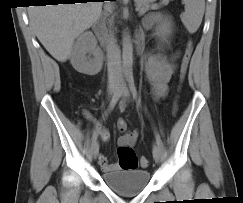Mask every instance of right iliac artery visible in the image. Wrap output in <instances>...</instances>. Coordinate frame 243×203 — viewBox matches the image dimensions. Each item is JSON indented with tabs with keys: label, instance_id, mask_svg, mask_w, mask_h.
<instances>
[{
	"label": "right iliac artery",
	"instance_id": "1",
	"mask_svg": "<svg viewBox=\"0 0 243 203\" xmlns=\"http://www.w3.org/2000/svg\"><path fill=\"white\" fill-rule=\"evenodd\" d=\"M124 85H125V84H124V82H123L122 85H121V87H120V90L117 91V92L114 94V96L112 97V99H111V101H110V103H109L108 109H107V111H106V113H105V117L107 116V114H108L110 111H112V110L114 109L115 105L117 104V102H118V100H119V98H120V96H121V90H122V88L124 87ZM97 137H98V132L95 130L94 133H93V135H92V142H95L96 139H97Z\"/></svg>",
	"mask_w": 243,
	"mask_h": 203
}]
</instances>
